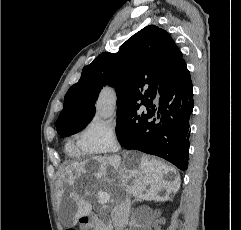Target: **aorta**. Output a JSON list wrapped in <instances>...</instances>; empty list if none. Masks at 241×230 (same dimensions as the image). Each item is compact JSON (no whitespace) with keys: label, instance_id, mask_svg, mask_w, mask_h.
I'll return each mask as SVG.
<instances>
[{"label":"aorta","instance_id":"762f6f07","mask_svg":"<svg viewBox=\"0 0 241 230\" xmlns=\"http://www.w3.org/2000/svg\"><path fill=\"white\" fill-rule=\"evenodd\" d=\"M96 113L101 119H109L112 117L115 108V95L112 89L104 88L96 102Z\"/></svg>","mask_w":241,"mask_h":230}]
</instances>
